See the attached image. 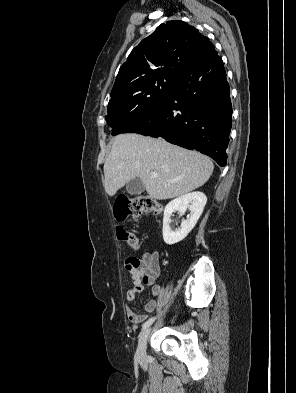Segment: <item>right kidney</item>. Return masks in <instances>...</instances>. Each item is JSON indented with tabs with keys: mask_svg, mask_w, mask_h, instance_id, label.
Segmentation results:
<instances>
[{
	"mask_svg": "<svg viewBox=\"0 0 296 393\" xmlns=\"http://www.w3.org/2000/svg\"><path fill=\"white\" fill-rule=\"evenodd\" d=\"M206 202L207 197L202 192L188 193L169 202L165 207L163 217L164 242L168 245H173L182 241L195 227ZM187 209L190 210V217L182 220L180 229L172 231L169 225L172 213L178 211L180 214H184Z\"/></svg>",
	"mask_w": 296,
	"mask_h": 393,
	"instance_id": "1",
	"label": "right kidney"
}]
</instances>
